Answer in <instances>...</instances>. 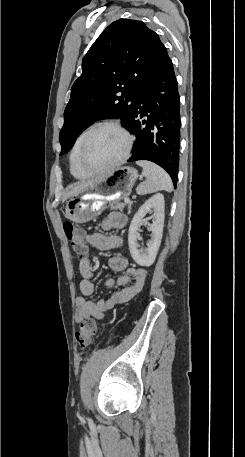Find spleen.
Masks as SVG:
<instances>
[{"label": "spleen", "instance_id": "1", "mask_svg": "<svg viewBox=\"0 0 245 457\" xmlns=\"http://www.w3.org/2000/svg\"><path fill=\"white\" fill-rule=\"evenodd\" d=\"M136 164L142 166L146 180L140 182L136 188L137 194H149V192H157V190H173L172 180L161 166L150 162V160H136Z\"/></svg>", "mask_w": 245, "mask_h": 457}]
</instances>
